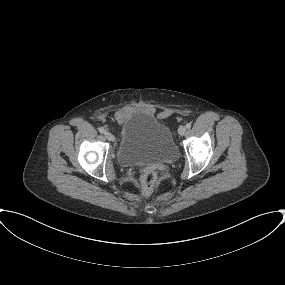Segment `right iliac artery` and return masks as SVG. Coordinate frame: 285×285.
Wrapping results in <instances>:
<instances>
[{"label": "right iliac artery", "instance_id": "right-iliac-artery-1", "mask_svg": "<svg viewBox=\"0 0 285 285\" xmlns=\"http://www.w3.org/2000/svg\"><path fill=\"white\" fill-rule=\"evenodd\" d=\"M99 132L100 133H105V129L101 127V128H99Z\"/></svg>", "mask_w": 285, "mask_h": 285}]
</instances>
